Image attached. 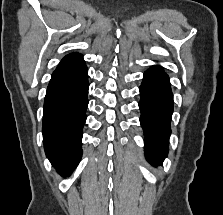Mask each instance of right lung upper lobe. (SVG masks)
Masks as SVG:
<instances>
[{"label": "right lung upper lobe", "mask_w": 223, "mask_h": 215, "mask_svg": "<svg viewBox=\"0 0 223 215\" xmlns=\"http://www.w3.org/2000/svg\"><path fill=\"white\" fill-rule=\"evenodd\" d=\"M87 67L81 54L70 53L66 55L53 72L50 83L76 76Z\"/></svg>", "instance_id": "right-lung-upper-lobe-1"}]
</instances>
